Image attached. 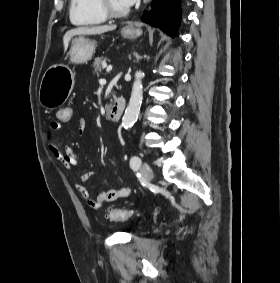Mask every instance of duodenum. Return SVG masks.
Instances as JSON below:
<instances>
[{
  "label": "duodenum",
  "instance_id": "410a0bca",
  "mask_svg": "<svg viewBox=\"0 0 280 283\" xmlns=\"http://www.w3.org/2000/svg\"><path fill=\"white\" fill-rule=\"evenodd\" d=\"M125 106H126V101L124 98L117 99L108 112L107 115L108 120L111 122L119 121L123 115Z\"/></svg>",
  "mask_w": 280,
  "mask_h": 283
}]
</instances>
